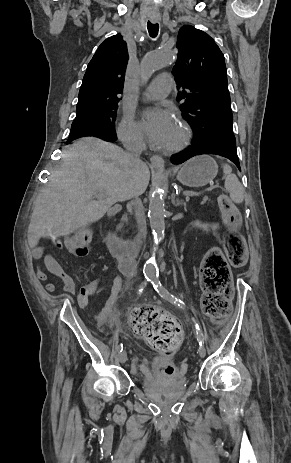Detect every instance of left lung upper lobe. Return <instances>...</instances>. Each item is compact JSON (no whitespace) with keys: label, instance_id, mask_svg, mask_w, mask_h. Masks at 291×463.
I'll return each mask as SVG.
<instances>
[{"label":"left lung upper lobe","instance_id":"left-lung-upper-lobe-1","mask_svg":"<svg viewBox=\"0 0 291 463\" xmlns=\"http://www.w3.org/2000/svg\"><path fill=\"white\" fill-rule=\"evenodd\" d=\"M174 66L182 115L194 136L236 144L224 55L205 32L185 25L178 33Z\"/></svg>","mask_w":291,"mask_h":463}]
</instances>
